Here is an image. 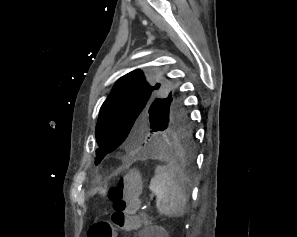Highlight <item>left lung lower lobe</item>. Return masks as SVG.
Returning <instances> with one entry per match:
<instances>
[{
  "mask_svg": "<svg viewBox=\"0 0 297 237\" xmlns=\"http://www.w3.org/2000/svg\"><path fill=\"white\" fill-rule=\"evenodd\" d=\"M184 106L166 116L164 126L153 135L141 157H171L187 168H192L195 158L193 128Z\"/></svg>",
  "mask_w": 297,
  "mask_h": 237,
  "instance_id": "1",
  "label": "left lung lower lobe"
}]
</instances>
